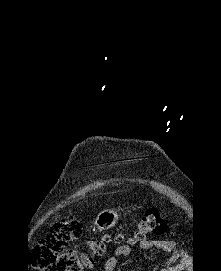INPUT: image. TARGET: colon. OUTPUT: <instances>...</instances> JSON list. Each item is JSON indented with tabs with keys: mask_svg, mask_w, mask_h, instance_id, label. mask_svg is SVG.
<instances>
[{
	"mask_svg": "<svg viewBox=\"0 0 221 271\" xmlns=\"http://www.w3.org/2000/svg\"><path fill=\"white\" fill-rule=\"evenodd\" d=\"M169 227L168 222L154 209H149L137 222L134 240L139 241L149 235L163 234ZM83 228L74 216L63 217L51 226L47 234L32 254V263L38 271H87L94 267L95 259L101 257L109 242H118L120 236L91 240L87 250L79 252L67 248L68 243L81 237Z\"/></svg>",
	"mask_w": 221,
	"mask_h": 271,
	"instance_id": "1",
	"label": "colon"
}]
</instances>
